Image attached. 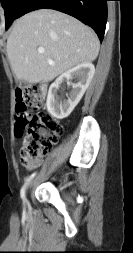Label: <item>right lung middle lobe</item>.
<instances>
[{"mask_svg":"<svg viewBox=\"0 0 133 253\" xmlns=\"http://www.w3.org/2000/svg\"><path fill=\"white\" fill-rule=\"evenodd\" d=\"M5 11L6 30L12 24L24 0H0Z\"/></svg>","mask_w":133,"mask_h":253,"instance_id":"dd1d6c3e","label":"right lung middle lobe"}]
</instances>
